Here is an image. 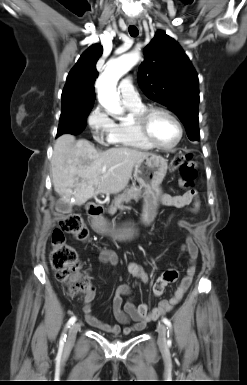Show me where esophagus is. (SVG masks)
<instances>
[{"label": "esophagus", "instance_id": "1", "mask_svg": "<svg viewBox=\"0 0 247 385\" xmlns=\"http://www.w3.org/2000/svg\"><path fill=\"white\" fill-rule=\"evenodd\" d=\"M135 23H136L135 21H131V22H130L131 25H134Z\"/></svg>", "mask_w": 247, "mask_h": 385}]
</instances>
